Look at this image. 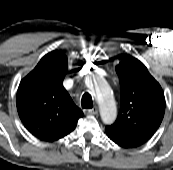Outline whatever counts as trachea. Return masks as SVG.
<instances>
[{
  "mask_svg": "<svg viewBox=\"0 0 173 170\" xmlns=\"http://www.w3.org/2000/svg\"><path fill=\"white\" fill-rule=\"evenodd\" d=\"M81 105L84 109H91L93 107L92 97L89 93H84L81 99Z\"/></svg>",
  "mask_w": 173,
  "mask_h": 170,
  "instance_id": "3493384b",
  "label": "trachea"
}]
</instances>
